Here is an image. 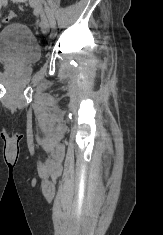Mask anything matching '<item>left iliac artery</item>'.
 I'll use <instances>...</instances> for the list:
<instances>
[{
  "label": "left iliac artery",
  "mask_w": 163,
  "mask_h": 235,
  "mask_svg": "<svg viewBox=\"0 0 163 235\" xmlns=\"http://www.w3.org/2000/svg\"><path fill=\"white\" fill-rule=\"evenodd\" d=\"M45 10H46V13H47V16H48V19L50 21L51 26L55 27L56 21H55V18H54L52 11L47 6H46Z\"/></svg>",
  "instance_id": "44dca946"
}]
</instances>
